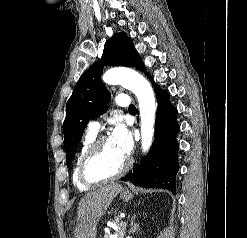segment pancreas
<instances>
[{"mask_svg":"<svg viewBox=\"0 0 247 238\" xmlns=\"http://www.w3.org/2000/svg\"><path fill=\"white\" fill-rule=\"evenodd\" d=\"M117 229L114 232L115 238H124L126 226L122 225L119 219L115 221ZM103 238H111L109 233H105Z\"/></svg>","mask_w":247,"mask_h":238,"instance_id":"pancreas-1","label":"pancreas"}]
</instances>
